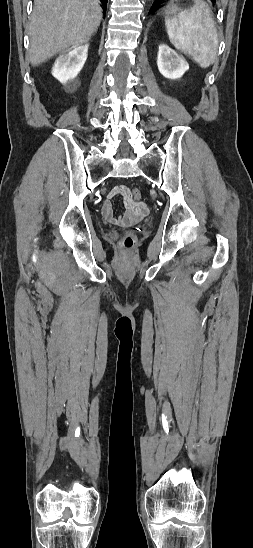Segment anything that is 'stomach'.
I'll return each instance as SVG.
<instances>
[{
    "mask_svg": "<svg viewBox=\"0 0 253 548\" xmlns=\"http://www.w3.org/2000/svg\"><path fill=\"white\" fill-rule=\"evenodd\" d=\"M177 10L176 6H168L166 9L167 17L171 16L173 13H175Z\"/></svg>",
    "mask_w": 253,
    "mask_h": 548,
    "instance_id": "1",
    "label": "stomach"
}]
</instances>
